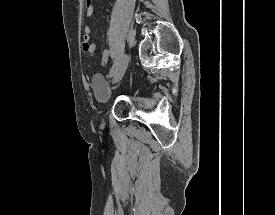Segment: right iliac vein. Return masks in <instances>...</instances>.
I'll list each match as a JSON object with an SVG mask.
<instances>
[{
  "label": "right iliac vein",
  "instance_id": "1",
  "mask_svg": "<svg viewBox=\"0 0 275 215\" xmlns=\"http://www.w3.org/2000/svg\"><path fill=\"white\" fill-rule=\"evenodd\" d=\"M127 66H128V56L124 55L120 60L117 69L112 73L113 83H117L123 78L126 72Z\"/></svg>",
  "mask_w": 275,
  "mask_h": 215
}]
</instances>
